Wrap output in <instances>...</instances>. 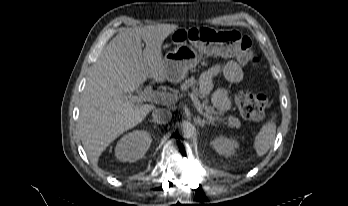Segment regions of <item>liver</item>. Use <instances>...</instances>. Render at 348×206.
Wrapping results in <instances>:
<instances>
[{
    "label": "liver",
    "mask_w": 348,
    "mask_h": 206,
    "mask_svg": "<svg viewBox=\"0 0 348 206\" xmlns=\"http://www.w3.org/2000/svg\"><path fill=\"white\" fill-rule=\"evenodd\" d=\"M177 27L158 24L128 28L110 41L92 66L78 120L82 144L92 164L98 163L110 143L154 109L153 104H134L126 95L148 78L169 80L161 46Z\"/></svg>",
    "instance_id": "1"
}]
</instances>
